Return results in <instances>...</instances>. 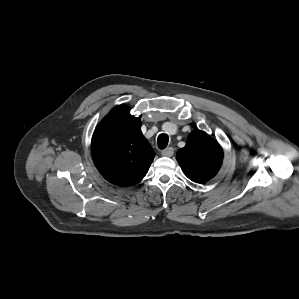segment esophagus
<instances>
[{
  "label": "esophagus",
  "mask_w": 299,
  "mask_h": 299,
  "mask_svg": "<svg viewBox=\"0 0 299 299\" xmlns=\"http://www.w3.org/2000/svg\"><path fill=\"white\" fill-rule=\"evenodd\" d=\"M174 154L173 147H168L161 152L162 156L171 157Z\"/></svg>",
  "instance_id": "1"
}]
</instances>
